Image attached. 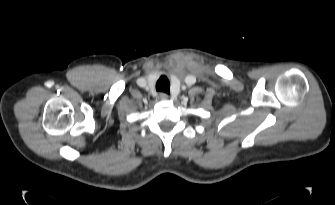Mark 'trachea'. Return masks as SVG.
Returning <instances> with one entry per match:
<instances>
[{
  "label": "trachea",
  "mask_w": 335,
  "mask_h": 205,
  "mask_svg": "<svg viewBox=\"0 0 335 205\" xmlns=\"http://www.w3.org/2000/svg\"><path fill=\"white\" fill-rule=\"evenodd\" d=\"M156 90L168 94L170 92L169 80L166 77L162 76L156 83Z\"/></svg>",
  "instance_id": "obj_1"
}]
</instances>
